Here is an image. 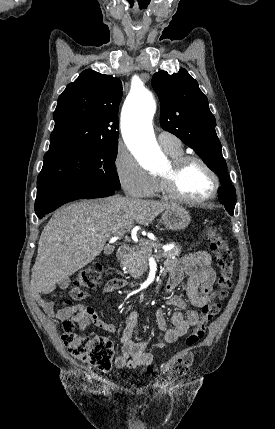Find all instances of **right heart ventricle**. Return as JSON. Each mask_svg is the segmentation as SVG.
<instances>
[{"label":"right heart ventricle","mask_w":275,"mask_h":429,"mask_svg":"<svg viewBox=\"0 0 275 429\" xmlns=\"http://www.w3.org/2000/svg\"><path fill=\"white\" fill-rule=\"evenodd\" d=\"M165 152L171 157H177L183 154L182 148L176 150H165ZM153 192H162L161 184L159 180H156L155 188Z\"/></svg>","instance_id":"obj_1"}]
</instances>
